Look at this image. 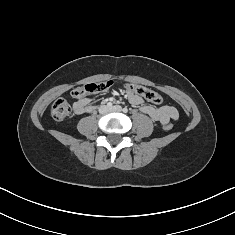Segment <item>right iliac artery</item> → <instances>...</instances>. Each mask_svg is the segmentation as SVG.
Masks as SVG:
<instances>
[{
    "label": "right iliac artery",
    "mask_w": 235,
    "mask_h": 235,
    "mask_svg": "<svg viewBox=\"0 0 235 235\" xmlns=\"http://www.w3.org/2000/svg\"><path fill=\"white\" fill-rule=\"evenodd\" d=\"M107 106L112 107V103L111 102L107 103Z\"/></svg>",
    "instance_id": "82829eb1"
}]
</instances>
